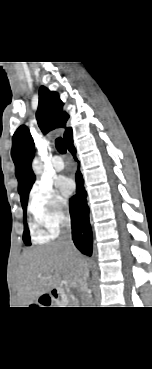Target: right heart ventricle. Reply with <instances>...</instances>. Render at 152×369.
Returning a JSON list of instances; mask_svg holds the SVG:
<instances>
[{
	"label": "right heart ventricle",
	"mask_w": 152,
	"mask_h": 369,
	"mask_svg": "<svg viewBox=\"0 0 152 369\" xmlns=\"http://www.w3.org/2000/svg\"><path fill=\"white\" fill-rule=\"evenodd\" d=\"M36 234H37V238L38 239H44V237L41 235V233L39 232V230H36Z\"/></svg>",
	"instance_id": "right-heart-ventricle-1"
}]
</instances>
